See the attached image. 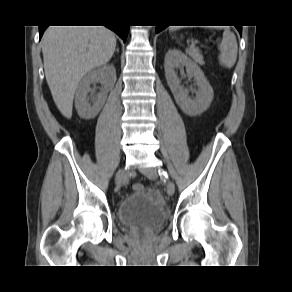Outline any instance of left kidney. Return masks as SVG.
Masks as SVG:
<instances>
[{"mask_svg":"<svg viewBox=\"0 0 292 292\" xmlns=\"http://www.w3.org/2000/svg\"><path fill=\"white\" fill-rule=\"evenodd\" d=\"M180 65L185 66L187 75L195 79L197 90H193L196 94L193 99L189 96V90L181 86L175 72V69ZM164 68L166 80L174 99L185 114L196 116L208 109L214 96L213 89L200 67L194 61L181 51L171 49L165 55Z\"/></svg>","mask_w":292,"mask_h":292,"instance_id":"1","label":"left kidney"}]
</instances>
